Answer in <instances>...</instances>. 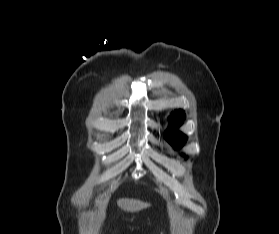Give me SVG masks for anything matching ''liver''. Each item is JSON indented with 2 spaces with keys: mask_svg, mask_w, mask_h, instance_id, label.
<instances>
[{
  "mask_svg": "<svg viewBox=\"0 0 279 234\" xmlns=\"http://www.w3.org/2000/svg\"><path fill=\"white\" fill-rule=\"evenodd\" d=\"M118 206L127 212H138L149 207L150 204L135 199H120L118 200Z\"/></svg>",
  "mask_w": 279,
  "mask_h": 234,
  "instance_id": "obj_1",
  "label": "liver"
}]
</instances>
